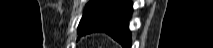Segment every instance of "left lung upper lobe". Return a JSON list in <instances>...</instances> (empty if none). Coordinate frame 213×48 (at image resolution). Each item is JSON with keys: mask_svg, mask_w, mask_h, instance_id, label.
I'll list each match as a JSON object with an SVG mask.
<instances>
[{"mask_svg": "<svg viewBox=\"0 0 213 48\" xmlns=\"http://www.w3.org/2000/svg\"><path fill=\"white\" fill-rule=\"evenodd\" d=\"M117 0H90L85 7L82 19L80 20L78 26V32H82V30L87 26L90 20L100 11L105 8L111 6Z\"/></svg>", "mask_w": 213, "mask_h": 48, "instance_id": "obj_1", "label": "left lung upper lobe"}]
</instances>
